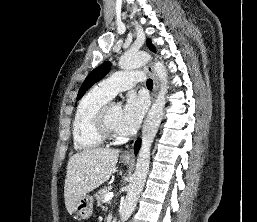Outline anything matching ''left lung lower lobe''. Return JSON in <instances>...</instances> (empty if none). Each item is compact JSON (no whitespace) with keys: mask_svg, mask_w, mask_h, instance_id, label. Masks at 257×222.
I'll return each instance as SVG.
<instances>
[{"mask_svg":"<svg viewBox=\"0 0 257 222\" xmlns=\"http://www.w3.org/2000/svg\"><path fill=\"white\" fill-rule=\"evenodd\" d=\"M140 146H141V141L140 139H138L136 142H135V145H134V152L135 154L138 153L139 149H140Z\"/></svg>","mask_w":257,"mask_h":222,"instance_id":"obj_1","label":"left lung lower lobe"}]
</instances>
